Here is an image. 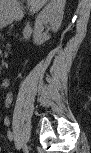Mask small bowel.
I'll list each match as a JSON object with an SVG mask.
<instances>
[{
	"label": "small bowel",
	"instance_id": "small-bowel-1",
	"mask_svg": "<svg viewBox=\"0 0 91 153\" xmlns=\"http://www.w3.org/2000/svg\"><path fill=\"white\" fill-rule=\"evenodd\" d=\"M10 84V81L8 79H3L1 86L3 88H7ZM3 103L5 106H9L12 103V94L10 92H5L3 96ZM5 123L8 125L9 121H5ZM8 139L12 142L14 140V137L11 132L8 133Z\"/></svg>",
	"mask_w": 91,
	"mask_h": 153
}]
</instances>
